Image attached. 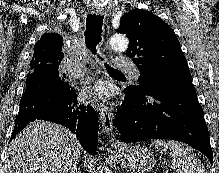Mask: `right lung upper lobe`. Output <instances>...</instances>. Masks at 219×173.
Wrapping results in <instances>:
<instances>
[{
    "label": "right lung upper lobe",
    "mask_w": 219,
    "mask_h": 173,
    "mask_svg": "<svg viewBox=\"0 0 219 173\" xmlns=\"http://www.w3.org/2000/svg\"><path fill=\"white\" fill-rule=\"evenodd\" d=\"M64 42L61 35L56 33L44 34L35 44L31 65L41 63L60 64L64 57Z\"/></svg>",
    "instance_id": "cb5924a9"
}]
</instances>
